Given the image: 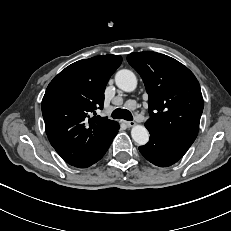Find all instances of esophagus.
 Returning a JSON list of instances; mask_svg holds the SVG:
<instances>
[{
    "label": "esophagus",
    "instance_id": "1",
    "mask_svg": "<svg viewBox=\"0 0 231 231\" xmlns=\"http://www.w3.org/2000/svg\"><path fill=\"white\" fill-rule=\"evenodd\" d=\"M125 124L128 126V127H133L136 125V123L134 121H125Z\"/></svg>",
    "mask_w": 231,
    "mask_h": 231
}]
</instances>
